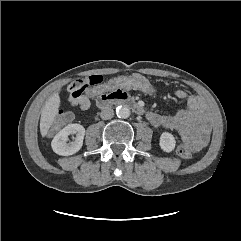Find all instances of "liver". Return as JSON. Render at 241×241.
Returning a JSON list of instances; mask_svg holds the SVG:
<instances>
[{
	"label": "liver",
	"instance_id": "liver-1",
	"mask_svg": "<svg viewBox=\"0 0 241 241\" xmlns=\"http://www.w3.org/2000/svg\"><path fill=\"white\" fill-rule=\"evenodd\" d=\"M60 97L58 93H54L45 103L40 118V132L44 137L47 135L52 126L60 106Z\"/></svg>",
	"mask_w": 241,
	"mask_h": 241
}]
</instances>
